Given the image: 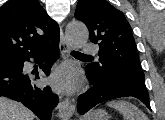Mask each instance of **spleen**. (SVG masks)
I'll use <instances>...</instances> for the list:
<instances>
[{
    "label": "spleen",
    "instance_id": "obj_1",
    "mask_svg": "<svg viewBox=\"0 0 165 120\" xmlns=\"http://www.w3.org/2000/svg\"><path fill=\"white\" fill-rule=\"evenodd\" d=\"M107 105L119 111L123 115L124 120H148V117L130 102L114 100L108 102Z\"/></svg>",
    "mask_w": 165,
    "mask_h": 120
}]
</instances>
